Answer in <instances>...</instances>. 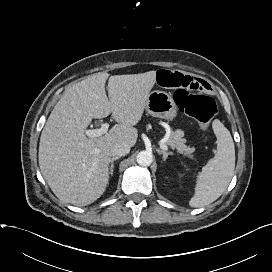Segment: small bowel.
<instances>
[{"label": "small bowel", "mask_w": 272, "mask_h": 272, "mask_svg": "<svg viewBox=\"0 0 272 272\" xmlns=\"http://www.w3.org/2000/svg\"><path fill=\"white\" fill-rule=\"evenodd\" d=\"M157 82L160 86L170 89H187L192 91L209 89V84L205 80L175 70L158 71Z\"/></svg>", "instance_id": "obj_1"}]
</instances>
